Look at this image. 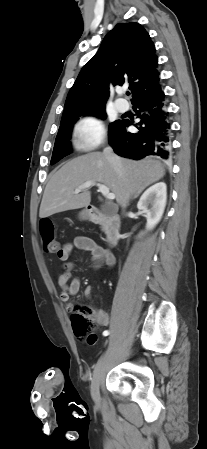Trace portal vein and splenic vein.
Here are the masks:
<instances>
[{
    "mask_svg": "<svg viewBox=\"0 0 207 449\" xmlns=\"http://www.w3.org/2000/svg\"><path fill=\"white\" fill-rule=\"evenodd\" d=\"M96 185L98 187V191L102 193V195L107 199H115V195L113 193H110L109 188L101 183H96L95 181H87L80 185L78 188L75 189L74 194H78L84 189L90 188L91 186Z\"/></svg>",
    "mask_w": 207,
    "mask_h": 449,
    "instance_id": "portal-vein-and-splenic-vein-1",
    "label": "portal vein and splenic vein"
}]
</instances>
